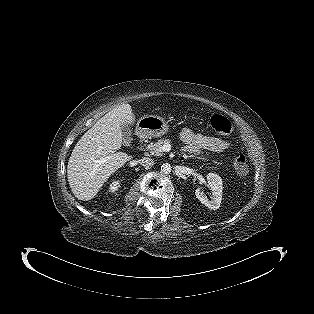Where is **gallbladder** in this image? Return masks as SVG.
Listing matches in <instances>:
<instances>
[{"mask_svg": "<svg viewBox=\"0 0 314 314\" xmlns=\"http://www.w3.org/2000/svg\"><path fill=\"white\" fill-rule=\"evenodd\" d=\"M121 130H122V135H123V144L125 146H129L132 141L131 130L126 125L122 126Z\"/></svg>", "mask_w": 314, "mask_h": 314, "instance_id": "bac80fb5", "label": "gallbladder"}]
</instances>
